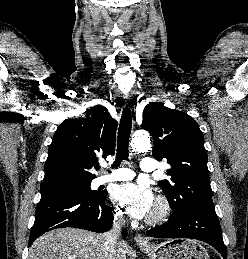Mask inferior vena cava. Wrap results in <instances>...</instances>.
<instances>
[{"instance_id":"602c4592","label":"inferior vena cava","mask_w":248,"mask_h":259,"mask_svg":"<svg viewBox=\"0 0 248 259\" xmlns=\"http://www.w3.org/2000/svg\"><path fill=\"white\" fill-rule=\"evenodd\" d=\"M122 225H123V220L121 219V217L116 218L113 223L112 229L104 233L105 257L107 259H113V254L115 253V250H116V246L120 236V229Z\"/></svg>"}]
</instances>
